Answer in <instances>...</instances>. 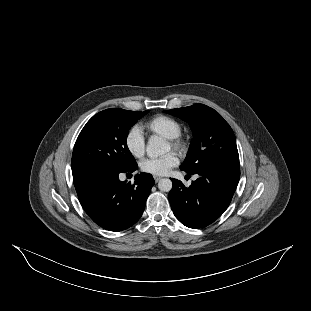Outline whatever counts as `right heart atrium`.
<instances>
[{"instance_id": "1", "label": "right heart atrium", "mask_w": 311, "mask_h": 311, "mask_svg": "<svg viewBox=\"0 0 311 311\" xmlns=\"http://www.w3.org/2000/svg\"><path fill=\"white\" fill-rule=\"evenodd\" d=\"M124 146L134 158L140 159L145 154V137L138 125L131 126L124 136Z\"/></svg>"}]
</instances>
